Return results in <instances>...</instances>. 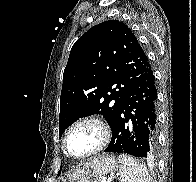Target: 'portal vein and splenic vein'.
Returning a JSON list of instances; mask_svg holds the SVG:
<instances>
[{
  "label": "portal vein and splenic vein",
  "instance_id": "obj_1",
  "mask_svg": "<svg viewBox=\"0 0 196 182\" xmlns=\"http://www.w3.org/2000/svg\"><path fill=\"white\" fill-rule=\"evenodd\" d=\"M101 182H108L107 180H105V179H103V180H101Z\"/></svg>",
  "mask_w": 196,
  "mask_h": 182
}]
</instances>
